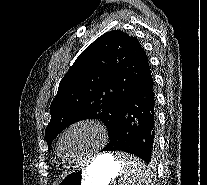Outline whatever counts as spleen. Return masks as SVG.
<instances>
[{"label":"spleen","instance_id":"1","mask_svg":"<svg viewBox=\"0 0 207 185\" xmlns=\"http://www.w3.org/2000/svg\"><path fill=\"white\" fill-rule=\"evenodd\" d=\"M116 158L123 167L118 185H146L148 179H156V174H149L150 166L143 159H134L135 153H116Z\"/></svg>","mask_w":207,"mask_h":185}]
</instances>
